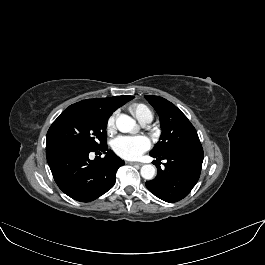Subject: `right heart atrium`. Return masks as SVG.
Listing matches in <instances>:
<instances>
[{"label": "right heart atrium", "instance_id": "1", "mask_svg": "<svg viewBox=\"0 0 265 265\" xmlns=\"http://www.w3.org/2000/svg\"><path fill=\"white\" fill-rule=\"evenodd\" d=\"M115 128V113L111 114L106 122V130L108 133L112 132Z\"/></svg>", "mask_w": 265, "mask_h": 265}]
</instances>
